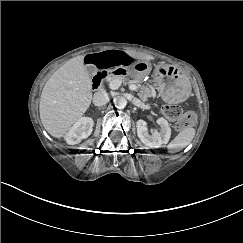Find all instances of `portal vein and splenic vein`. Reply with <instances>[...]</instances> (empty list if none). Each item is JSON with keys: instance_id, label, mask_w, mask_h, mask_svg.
Instances as JSON below:
<instances>
[{"instance_id": "18ae733b", "label": "portal vein and splenic vein", "mask_w": 243, "mask_h": 243, "mask_svg": "<svg viewBox=\"0 0 243 243\" xmlns=\"http://www.w3.org/2000/svg\"><path fill=\"white\" fill-rule=\"evenodd\" d=\"M121 85V82L118 81V80H113L110 82V89L111 90H116L120 87ZM130 89L133 90V91H137V86L135 84H131L130 85Z\"/></svg>"}]
</instances>
